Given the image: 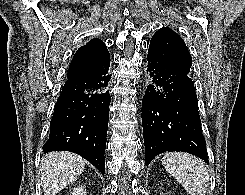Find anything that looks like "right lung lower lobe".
Listing matches in <instances>:
<instances>
[{"mask_svg": "<svg viewBox=\"0 0 245 195\" xmlns=\"http://www.w3.org/2000/svg\"><path fill=\"white\" fill-rule=\"evenodd\" d=\"M108 68L69 77L57 100L43 153L74 152L105 173L110 94Z\"/></svg>", "mask_w": 245, "mask_h": 195, "instance_id": "obj_1", "label": "right lung lower lobe"}]
</instances>
